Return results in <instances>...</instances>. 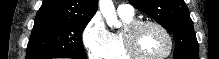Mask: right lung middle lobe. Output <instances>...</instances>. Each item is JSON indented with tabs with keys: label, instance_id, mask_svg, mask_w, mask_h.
<instances>
[{
	"label": "right lung middle lobe",
	"instance_id": "obj_1",
	"mask_svg": "<svg viewBox=\"0 0 219 59\" xmlns=\"http://www.w3.org/2000/svg\"><path fill=\"white\" fill-rule=\"evenodd\" d=\"M89 21L56 16L36 17L26 59H86L82 32Z\"/></svg>",
	"mask_w": 219,
	"mask_h": 59
}]
</instances>
